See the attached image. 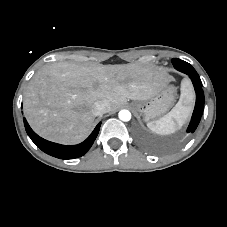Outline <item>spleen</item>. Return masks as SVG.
Segmentation results:
<instances>
[{"label":"spleen","mask_w":227,"mask_h":227,"mask_svg":"<svg viewBox=\"0 0 227 227\" xmlns=\"http://www.w3.org/2000/svg\"><path fill=\"white\" fill-rule=\"evenodd\" d=\"M192 100L193 96L187 88V85H183L180 99L173 109L162 118L148 122L147 127L160 135L174 133L187 119L190 113L189 104Z\"/></svg>","instance_id":"1"}]
</instances>
